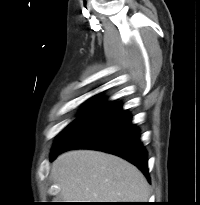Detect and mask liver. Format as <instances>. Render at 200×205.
<instances>
[{
  "mask_svg": "<svg viewBox=\"0 0 200 205\" xmlns=\"http://www.w3.org/2000/svg\"><path fill=\"white\" fill-rule=\"evenodd\" d=\"M67 202H147L149 186L143 174L117 156L93 150L60 154L51 167Z\"/></svg>",
  "mask_w": 200,
  "mask_h": 205,
  "instance_id": "obj_1",
  "label": "liver"
}]
</instances>
